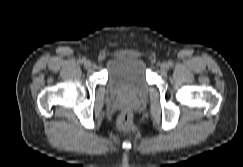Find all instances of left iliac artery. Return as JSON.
I'll return each mask as SVG.
<instances>
[{
    "mask_svg": "<svg viewBox=\"0 0 243 167\" xmlns=\"http://www.w3.org/2000/svg\"><path fill=\"white\" fill-rule=\"evenodd\" d=\"M169 66L172 67L173 63L171 61L168 62Z\"/></svg>",
    "mask_w": 243,
    "mask_h": 167,
    "instance_id": "obj_1",
    "label": "left iliac artery"
}]
</instances>
